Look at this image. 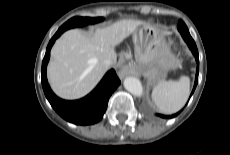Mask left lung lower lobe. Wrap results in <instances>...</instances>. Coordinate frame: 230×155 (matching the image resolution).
I'll use <instances>...</instances> for the list:
<instances>
[{
    "mask_svg": "<svg viewBox=\"0 0 230 155\" xmlns=\"http://www.w3.org/2000/svg\"><path fill=\"white\" fill-rule=\"evenodd\" d=\"M184 41L187 43L188 47L190 48V50L192 51L193 55L195 56L196 62H197V69H196V76H195V84H194V88L193 91L191 93V95L193 94L196 85L198 83V74H199V55H198V50L196 47V44L194 42V40L192 39L191 36H183ZM181 111H179L176 114L173 115H161V114H157V116L161 117V118H165V119H169V118H173L176 117Z\"/></svg>",
    "mask_w": 230,
    "mask_h": 155,
    "instance_id": "1",
    "label": "left lung lower lobe"
}]
</instances>
